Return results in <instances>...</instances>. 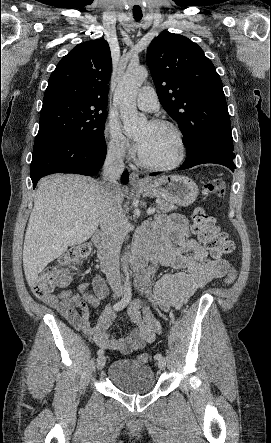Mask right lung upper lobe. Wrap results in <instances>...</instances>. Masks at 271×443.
I'll list each match as a JSON object with an SVG mask.
<instances>
[{"label":"right lung upper lobe","mask_w":271,"mask_h":443,"mask_svg":"<svg viewBox=\"0 0 271 443\" xmlns=\"http://www.w3.org/2000/svg\"><path fill=\"white\" fill-rule=\"evenodd\" d=\"M112 61L104 39L75 46L51 73L43 103L74 100L107 107Z\"/></svg>","instance_id":"obj_1"}]
</instances>
